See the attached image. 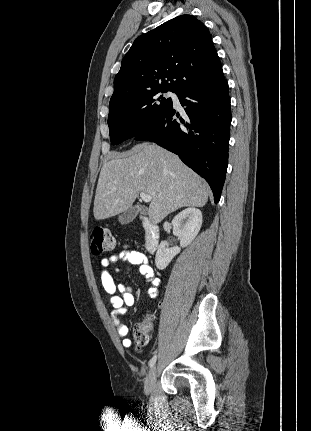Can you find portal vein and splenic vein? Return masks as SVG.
Here are the masks:
<instances>
[{"label": "portal vein and splenic vein", "instance_id": "18ae733b", "mask_svg": "<svg viewBox=\"0 0 311 431\" xmlns=\"http://www.w3.org/2000/svg\"><path fill=\"white\" fill-rule=\"evenodd\" d=\"M140 198L143 202H151V196H148L145 192H140Z\"/></svg>", "mask_w": 311, "mask_h": 431}]
</instances>
